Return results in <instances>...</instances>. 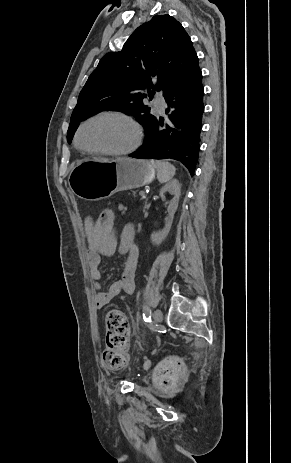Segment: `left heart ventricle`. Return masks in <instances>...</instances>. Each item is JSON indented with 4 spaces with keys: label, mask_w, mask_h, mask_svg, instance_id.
Segmentation results:
<instances>
[{
    "label": "left heart ventricle",
    "mask_w": 291,
    "mask_h": 463,
    "mask_svg": "<svg viewBox=\"0 0 291 463\" xmlns=\"http://www.w3.org/2000/svg\"><path fill=\"white\" fill-rule=\"evenodd\" d=\"M132 127L118 118L98 119L81 131L80 144L85 148L122 149L133 140Z\"/></svg>",
    "instance_id": "b2bd125f"
}]
</instances>
